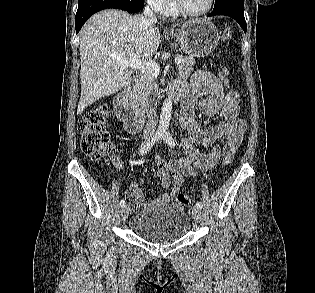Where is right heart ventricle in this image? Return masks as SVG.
Returning a JSON list of instances; mask_svg holds the SVG:
<instances>
[{"instance_id": "1", "label": "right heart ventricle", "mask_w": 315, "mask_h": 293, "mask_svg": "<svg viewBox=\"0 0 315 293\" xmlns=\"http://www.w3.org/2000/svg\"><path fill=\"white\" fill-rule=\"evenodd\" d=\"M161 12L164 16H167V17H175L179 14L175 9L172 0H167L166 4H165V6Z\"/></svg>"}]
</instances>
